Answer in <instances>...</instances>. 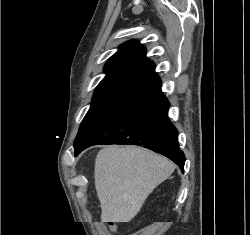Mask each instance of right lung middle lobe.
Wrapping results in <instances>:
<instances>
[{
  "label": "right lung middle lobe",
  "mask_w": 250,
  "mask_h": 235,
  "mask_svg": "<svg viewBox=\"0 0 250 235\" xmlns=\"http://www.w3.org/2000/svg\"><path fill=\"white\" fill-rule=\"evenodd\" d=\"M129 98L128 96L93 97L91 107L80 125L74 144L82 140L87 133Z\"/></svg>",
  "instance_id": "right-lung-middle-lobe-1"
}]
</instances>
